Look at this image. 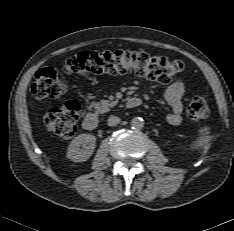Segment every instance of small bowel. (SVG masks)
I'll return each mask as SVG.
<instances>
[{"label": "small bowel", "mask_w": 234, "mask_h": 231, "mask_svg": "<svg viewBox=\"0 0 234 231\" xmlns=\"http://www.w3.org/2000/svg\"><path fill=\"white\" fill-rule=\"evenodd\" d=\"M184 83L177 79L171 83L165 90L164 99L169 104L171 111L167 116V120L171 125L177 126L182 121L184 95Z\"/></svg>", "instance_id": "obj_1"}]
</instances>
